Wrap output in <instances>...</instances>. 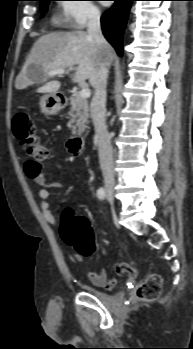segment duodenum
<instances>
[{
  "label": "duodenum",
  "mask_w": 193,
  "mask_h": 349,
  "mask_svg": "<svg viewBox=\"0 0 193 349\" xmlns=\"http://www.w3.org/2000/svg\"><path fill=\"white\" fill-rule=\"evenodd\" d=\"M84 147V138L82 136H74L68 142L69 153L73 156H80Z\"/></svg>",
  "instance_id": "410a0bca"
}]
</instances>
